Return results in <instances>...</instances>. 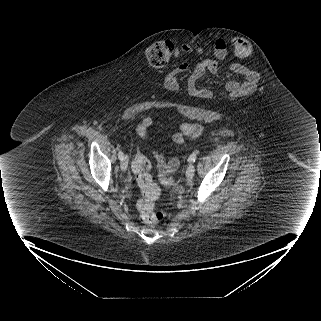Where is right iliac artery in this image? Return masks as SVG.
Wrapping results in <instances>:
<instances>
[{
	"instance_id": "82829eb1",
	"label": "right iliac artery",
	"mask_w": 321,
	"mask_h": 321,
	"mask_svg": "<svg viewBox=\"0 0 321 321\" xmlns=\"http://www.w3.org/2000/svg\"><path fill=\"white\" fill-rule=\"evenodd\" d=\"M123 152L122 151H119L118 152V158L120 159V160H122L123 159Z\"/></svg>"
}]
</instances>
